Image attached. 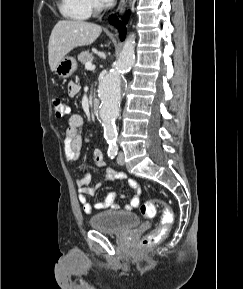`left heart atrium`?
Instances as JSON below:
<instances>
[{
    "label": "left heart atrium",
    "instance_id": "left-heart-atrium-1",
    "mask_svg": "<svg viewBox=\"0 0 243 289\" xmlns=\"http://www.w3.org/2000/svg\"><path fill=\"white\" fill-rule=\"evenodd\" d=\"M103 2H111V1H113V0H102Z\"/></svg>",
    "mask_w": 243,
    "mask_h": 289
}]
</instances>
